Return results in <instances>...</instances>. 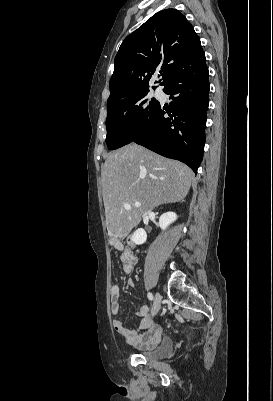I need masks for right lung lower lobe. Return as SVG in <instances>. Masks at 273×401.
I'll use <instances>...</instances> for the list:
<instances>
[{
  "label": "right lung lower lobe",
  "mask_w": 273,
  "mask_h": 401,
  "mask_svg": "<svg viewBox=\"0 0 273 401\" xmlns=\"http://www.w3.org/2000/svg\"><path fill=\"white\" fill-rule=\"evenodd\" d=\"M173 101L161 103L132 142L197 171L203 157L209 79L205 61L185 66L163 85ZM168 113L170 117L164 115Z\"/></svg>",
  "instance_id": "98d812e1"
}]
</instances>
